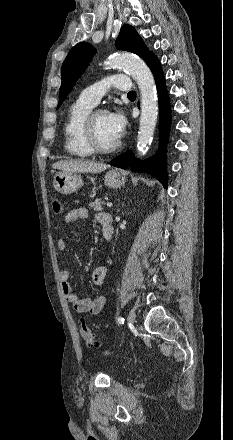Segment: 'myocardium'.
<instances>
[{
	"mask_svg": "<svg viewBox=\"0 0 233 440\" xmlns=\"http://www.w3.org/2000/svg\"><path fill=\"white\" fill-rule=\"evenodd\" d=\"M100 114H107L106 110L103 109H95L91 110L90 113L87 115V117L84 120L83 127H82V133L84 142L87 145V147L92 151L94 154H112L118 151L122 145L121 139H118L116 143L109 147H103L101 146L96 138L95 128H94V121L95 118Z\"/></svg>",
	"mask_w": 233,
	"mask_h": 440,
	"instance_id": "myocardium-1",
	"label": "myocardium"
}]
</instances>
